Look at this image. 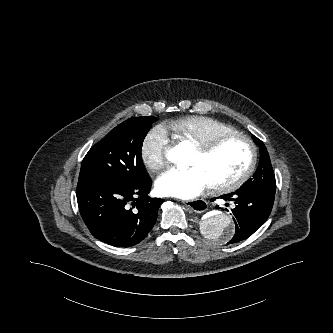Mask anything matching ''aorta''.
Returning <instances> with one entry per match:
<instances>
[{
    "mask_svg": "<svg viewBox=\"0 0 333 333\" xmlns=\"http://www.w3.org/2000/svg\"><path fill=\"white\" fill-rule=\"evenodd\" d=\"M189 149L181 145L176 146L169 155V160L181 167L190 165ZM203 235L215 242H225L234 234V223L231 217L220 211H213L202 222Z\"/></svg>",
    "mask_w": 333,
    "mask_h": 333,
    "instance_id": "762f6f07",
    "label": "aorta"
}]
</instances>
